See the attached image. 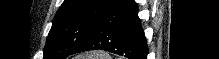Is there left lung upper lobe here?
<instances>
[{
	"label": "left lung upper lobe",
	"mask_w": 219,
	"mask_h": 59,
	"mask_svg": "<svg viewBox=\"0 0 219 59\" xmlns=\"http://www.w3.org/2000/svg\"><path fill=\"white\" fill-rule=\"evenodd\" d=\"M112 0H64L52 22L43 59H65L95 30Z\"/></svg>",
	"instance_id": "left-lung-upper-lobe-1"
}]
</instances>
